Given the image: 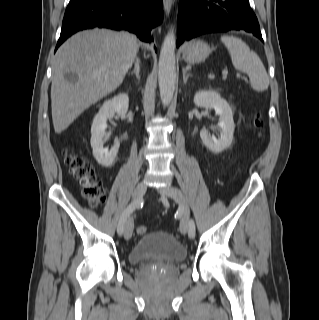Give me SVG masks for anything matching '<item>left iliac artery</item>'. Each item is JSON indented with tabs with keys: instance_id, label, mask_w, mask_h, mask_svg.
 <instances>
[{
	"instance_id": "1",
	"label": "left iliac artery",
	"mask_w": 319,
	"mask_h": 320,
	"mask_svg": "<svg viewBox=\"0 0 319 320\" xmlns=\"http://www.w3.org/2000/svg\"><path fill=\"white\" fill-rule=\"evenodd\" d=\"M190 238H194L195 237V224L194 221L191 220L189 222V233H188Z\"/></svg>"
}]
</instances>
